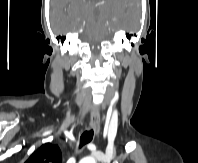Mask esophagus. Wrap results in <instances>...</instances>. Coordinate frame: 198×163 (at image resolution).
<instances>
[{"label": "esophagus", "mask_w": 198, "mask_h": 163, "mask_svg": "<svg viewBox=\"0 0 198 163\" xmlns=\"http://www.w3.org/2000/svg\"><path fill=\"white\" fill-rule=\"evenodd\" d=\"M90 128L94 130V134L97 136L100 131V120L98 118H91Z\"/></svg>", "instance_id": "obj_1"}]
</instances>
